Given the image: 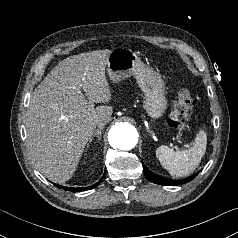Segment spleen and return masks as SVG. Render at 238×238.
Here are the masks:
<instances>
[{
  "instance_id": "obj_1",
  "label": "spleen",
  "mask_w": 238,
  "mask_h": 238,
  "mask_svg": "<svg viewBox=\"0 0 238 238\" xmlns=\"http://www.w3.org/2000/svg\"><path fill=\"white\" fill-rule=\"evenodd\" d=\"M207 144V134L200 130L196 135L194 146L181 151H174L162 145L156 149V157L164 169L174 177L190 175L201 162Z\"/></svg>"
}]
</instances>
